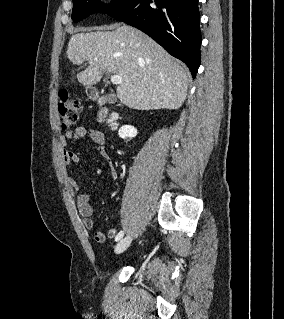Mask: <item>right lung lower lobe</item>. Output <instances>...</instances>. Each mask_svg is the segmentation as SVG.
Segmentation results:
<instances>
[{
    "mask_svg": "<svg viewBox=\"0 0 284 319\" xmlns=\"http://www.w3.org/2000/svg\"><path fill=\"white\" fill-rule=\"evenodd\" d=\"M107 14L149 35L195 78L201 61L198 0H132Z\"/></svg>",
    "mask_w": 284,
    "mask_h": 319,
    "instance_id": "98d812e1",
    "label": "right lung lower lobe"
}]
</instances>
